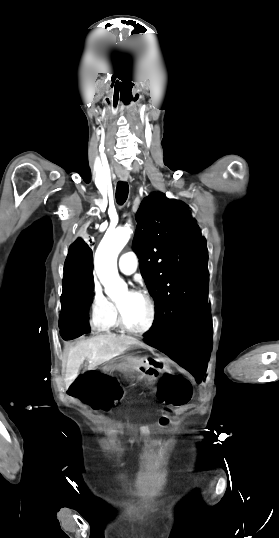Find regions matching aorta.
<instances>
[{"label":"aorta","instance_id":"obj_1","mask_svg":"<svg viewBox=\"0 0 279 538\" xmlns=\"http://www.w3.org/2000/svg\"><path fill=\"white\" fill-rule=\"evenodd\" d=\"M131 234L129 226L107 231L95 253L96 273L105 288V293L112 299L121 298L127 293V284L118 274L117 257Z\"/></svg>","mask_w":279,"mask_h":538}]
</instances>
